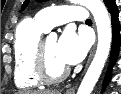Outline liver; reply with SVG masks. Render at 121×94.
<instances>
[{
	"mask_svg": "<svg viewBox=\"0 0 121 94\" xmlns=\"http://www.w3.org/2000/svg\"><path fill=\"white\" fill-rule=\"evenodd\" d=\"M20 94H61L57 90H45V91H27V92H21Z\"/></svg>",
	"mask_w": 121,
	"mask_h": 94,
	"instance_id": "obj_1",
	"label": "liver"
}]
</instances>
